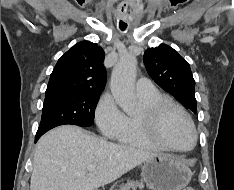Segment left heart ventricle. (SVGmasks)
I'll return each mask as SVG.
<instances>
[{"label":"left heart ventricle","mask_w":234,"mask_h":190,"mask_svg":"<svg viewBox=\"0 0 234 190\" xmlns=\"http://www.w3.org/2000/svg\"><path fill=\"white\" fill-rule=\"evenodd\" d=\"M161 134L169 144L179 148L188 147L193 139L188 122L175 110L168 111L164 116Z\"/></svg>","instance_id":"b2bd125f"}]
</instances>
